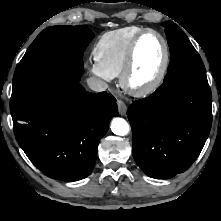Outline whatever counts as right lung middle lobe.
Returning <instances> with one entry per match:
<instances>
[{
	"mask_svg": "<svg viewBox=\"0 0 221 221\" xmlns=\"http://www.w3.org/2000/svg\"><path fill=\"white\" fill-rule=\"evenodd\" d=\"M94 33L83 26H51L29 46L16 67L11 112L60 85L66 72L83 73V53Z\"/></svg>",
	"mask_w": 221,
	"mask_h": 221,
	"instance_id": "1",
	"label": "right lung middle lobe"
}]
</instances>
